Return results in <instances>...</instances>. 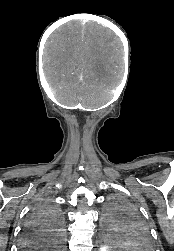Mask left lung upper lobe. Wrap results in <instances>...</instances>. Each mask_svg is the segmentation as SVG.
<instances>
[{
    "label": "left lung upper lobe",
    "instance_id": "1",
    "mask_svg": "<svg viewBox=\"0 0 174 251\" xmlns=\"http://www.w3.org/2000/svg\"><path fill=\"white\" fill-rule=\"evenodd\" d=\"M106 213L109 218V227L122 229L134 249L152 250L149 230L130 204L120 197H112L108 201Z\"/></svg>",
    "mask_w": 174,
    "mask_h": 251
}]
</instances>
